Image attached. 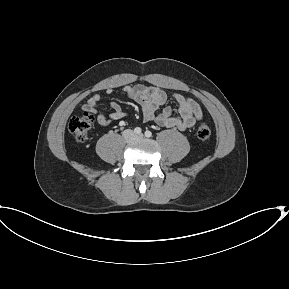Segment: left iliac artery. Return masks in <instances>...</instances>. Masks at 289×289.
I'll list each match as a JSON object with an SVG mask.
<instances>
[{
	"mask_svg": "<svg viewBox=\"0 0 289 289\" xmlns=\"http://www.w3.org/2000/svg\"><path fill=\"white\" fill-rule=\"evenodd\" d=\"M145 136L148 137V138L151 137L152 136V132L149 131V130H146L145 131Z\"/></svg>",
	"mask_w": 289,
	"mask_h": 289,
	"instance_id": "obj_1",
	"label": "left iliac artery"
}]
</instances>
